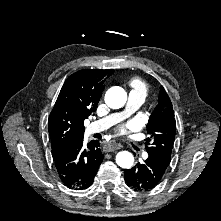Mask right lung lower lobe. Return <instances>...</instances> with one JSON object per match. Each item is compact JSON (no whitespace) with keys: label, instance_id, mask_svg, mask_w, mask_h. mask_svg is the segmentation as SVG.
Here are the masks:
<instances>
[{"label":"right lung lower lobe","instance_id":"obj_1","mask_svg":"<svg viewBox=\"0 0 221 221\" xmlns=\"http://www.w3.org/2000/svg\"><path fill=\"white\" fill-rule=\"evenodd\" d=\"M53 159L64 185L74 189H87L94 181L103 154L97 140H92L84 147L81 138L53 155Z\"/></svg>","mask_w":221,"mask_h":221}]
</instances>
